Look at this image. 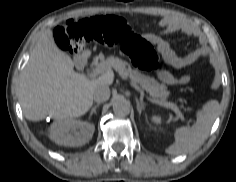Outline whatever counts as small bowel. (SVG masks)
Returning a JSON list of instances; mask_svg holds the SVG:
<instances>
[{
    "label": "small bowel",
    "mask_w": 236,
    "mask_h": 182,
    "mask_svg": "<svg viewBox=\"0 0 236 182\" xmlns=\"http://www.w3.org/2000/svg\"><path fill=\"white\" fill-rule=\"evenodd\" d=\"M160 26L163 28L160 33H146L142 35V37L150 44L155 45L165 61L173 68L180 69L191 65L205 55V45L204 43H201L194 51L187 55L182 57L177 56L171 49L169 43L163 38L165 35L176 32L195 35L193 28L184 20L174 16H166L161 19ZM190 79V75H184L178 80V82L180 84H186Z\"/></svg>",
    "instance_id": "c3829d8e"
}]
</instances>
